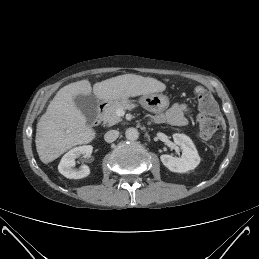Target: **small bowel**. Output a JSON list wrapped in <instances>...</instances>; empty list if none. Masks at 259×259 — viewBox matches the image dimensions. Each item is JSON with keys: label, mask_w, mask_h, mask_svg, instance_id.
<instances>
[{"label": "small bowel", "mask_w": 259, "mask_h": 259, "mask_svg": "<svg viewBox=\"0 0 259 259\" xmlns=\"http://www.w3.org/2000/svg\"><path fill=\"white\" fill-rule=\"evenodd\" d=\"M190 113V108L185 104H175L166 112L156 115L154 120L158 123L168 122L175 126H184L188 123Z\"/></svg>", "instance_id": "obj_1"}]
</instances>
